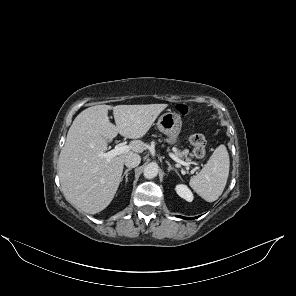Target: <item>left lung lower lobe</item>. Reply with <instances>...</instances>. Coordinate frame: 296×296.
Wrapping results in <instances>:
<instances>
[{
    "mask_svg": "<svg viewBox=\"0 0 296 296\" xmlns=\"http://www.w3.org/2000/svg\"><path fill=\"white\" fill-rule=\"evenodd\" d=\"M179 217H181V218H184V219H190V218H187V217H182V216H179Z\"/></svg>",
    "mask_w": 296,
    "mask_h": 296,
    "instance_id": "0a47b994",
    "label": "left lung lower lobe"
}]
</instances>
